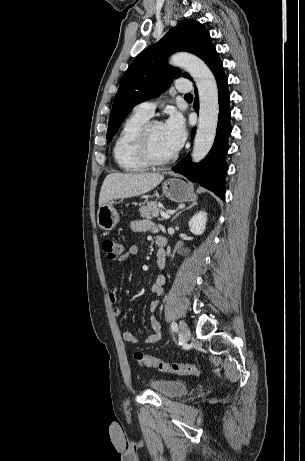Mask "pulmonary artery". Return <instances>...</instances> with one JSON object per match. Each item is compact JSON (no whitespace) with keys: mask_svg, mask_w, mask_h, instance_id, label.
Returning a JSON list of instances; mask_svg holds the SVG:
<instances>
[{"mask_svg":"<svg viewBox=\"0 0 305 461\" xmlns=\"http://www.w3.org/2000/svg\"><path fill=\"white\" fill-rule=\"evenodd\" d=\"M176 89L180 93H187L191 90V87L186 79L179 78L177 79ZM155 107L156 102L144 101L135 107V112L151 117L154 114Z\"/></svg>","mask_w":305,"mask_h":461,"instance_id":"pulmonary-artery-1","label":"pulmonary artery"}]
</instances>
